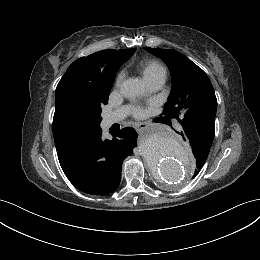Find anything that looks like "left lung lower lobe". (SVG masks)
Listing matches in <instances>:
<instances>
[{"instance_id": "0a47b994", "label": "left lung lower lobe", "mask_w": 260, "mask_h": 260, "mask_svg": "<svg viewBox=\"0 0 260 260\" xmlns=\"http://www.w3.org/2000/svg\"><path fill=\"white\" fill-rule=\"evenodd\" d=\"M181 136L183 137L184 141H187L190 144L192 152L197 161L207 159L212 141H209L198 132L187 127L183 128ZM198 173V171H195L193 178Z\"/></svg>"}]
</instances>
